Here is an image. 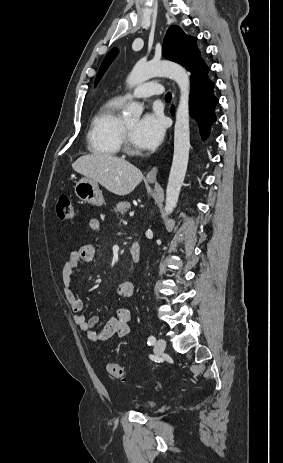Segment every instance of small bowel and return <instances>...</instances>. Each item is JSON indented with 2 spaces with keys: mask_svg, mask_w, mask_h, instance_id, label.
<instances>
[{
  "mask_svg": "<svg viewBox=\"0 0 283 463\" xmlns=\"http://www.w3.org/2000/svg\"><path fill=\"white\" fill-rule=\"evenodd\" d=\"M89 228L97 232L100 229V221L97 218L89 220ZM96 248L93 244H86L69 253L62 269V283L65 298L70 305L72 315L78 327L84 331L91 342L106 341L114 336L125 337L130 331L131 311L127 307L116 309L114 316L110 317L100 332L95 330L99 318L93 315L87 318L84 314L83 302L76 296L72 285V274L83 263L93 261ZM134 294V285L131 282L121 283L116 291L118 298H129Z\"/></svg>",
  "mask_w": 283,
  "mask_h": 463,
  "instance_id": "obj_1",
  "label": "small bowel"
}]
</instances>
